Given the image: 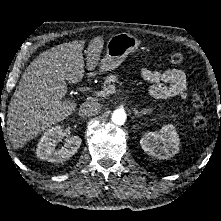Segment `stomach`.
I'll list each match as a JSON object with an SVG mask.
<instances>
[{"label": "stomach", "mask_w": 221, "mask_h": 221, "mask_svg": "<svg viewBox=\"0 0 221 221\" xmlns=\"http://www.w3.org/2000/svg\"><path fill=\"white\" fill-rule=\"evenodd\" d=\"M140 41L129 33L112 35L106 48V55L101 59L99 72L111 71L117 68L125 58L138 49Z\"/></svg>", "instance_id": "stomach-1"}]
</instances>
